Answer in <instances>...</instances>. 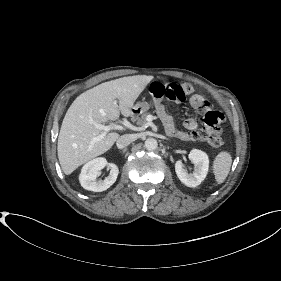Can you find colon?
Returning <instances> with one entry per match:
<instances>
[{
	"instance_id": "obj_1",
	"label": "colon",
	"mask_w": 281,
	"mask_h": 281,
	"mask_svg": "<svg viewBox=\"0 0 281 281\" xmlns=\"http://www.w3.org/2000/svg\"><path fill=\"white\" fill-rule=\"evenodd\" d=\"M193 91V86L188 82L161 83L154 82L149 88L153 98H165L170 101H183ZM224 117L219 111H207L203 115V128L196 133L197 139L207 140L214 148L221 147L223 140L219 135L220 124Z\"/></svg>"
}]
</instances>
